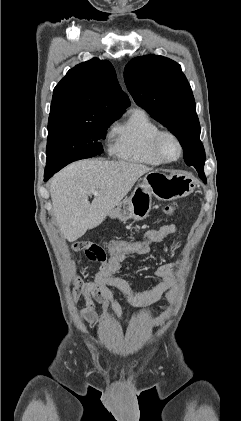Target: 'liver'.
<instances>
[{
    "instance_id": "6515ba94",
    "label": "liver",
    "mask_w": 241,
    "mask_h": 421,
    "mask_svg": "<svg viewBox=\"0 0 241 421\" xmlns=\"http://www.w3.org/2000/svg\"><path fill=\"white\" fill-rule=\"evenodd\" d=\"M150 171V167L133 162L88 159L58 172L50 182V196L61 235L73 242L100 225ZM91 190L99 192L92 203L88 199Z\"/></svg>"
}]
</instances>
